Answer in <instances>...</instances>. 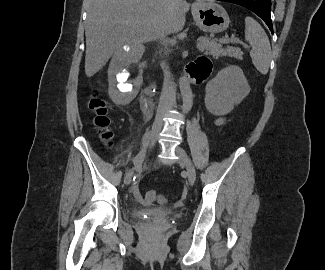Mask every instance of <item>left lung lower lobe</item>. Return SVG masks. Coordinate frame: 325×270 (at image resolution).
<instances>
[{
  "mask_svg": "<svg viewBox=\"0 0 325 270\" xmlns=\"http://www.w3.org/2000/svg\"><path fill=\"white\" fill-rule=\"evenodd\" d=\"M225 1L234 4L241 5L249 10L253 11L260 18L264 20V22L269 27L270 31L273 33L272 20L270 15L271 10V0H218Z\"/></svg>",
  "mask_w": 325,
  "mask_h": 270,
  "instance_id": "obj_1",
  "label": "left lung lower lobe"
}]
</instances>
